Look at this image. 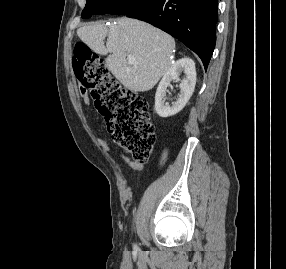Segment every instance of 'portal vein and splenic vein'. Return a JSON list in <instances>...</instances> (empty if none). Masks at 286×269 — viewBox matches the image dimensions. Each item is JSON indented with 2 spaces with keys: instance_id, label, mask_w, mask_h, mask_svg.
<instances>
[{
  "instance_id": "1",
  "label": "portal vein and splenic vein",
  "mask_w": 286,
  "mask_h": 269,
  "mask_svg": "<svg viewBox=\"0 0 286 269\" xmlns=\"http://www.w3.org/2000/svg\"><path fill=\"white\" fill-rule=\"evenodd\" d=\"M127 59H128V61H129V63H136V59H135V57L132 56V55H128Z\"/></svg>"
}]
</instances>
